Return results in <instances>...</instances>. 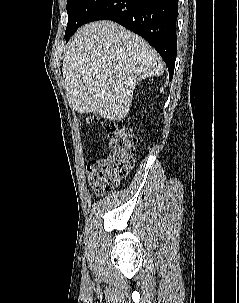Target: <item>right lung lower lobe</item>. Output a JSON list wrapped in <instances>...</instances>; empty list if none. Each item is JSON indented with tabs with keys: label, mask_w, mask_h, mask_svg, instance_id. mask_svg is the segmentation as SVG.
Instances as JSON below:
<instances>
[{
	"label": "right lung lower lobe",
	"mask_w": 239,
	"mask_h": 303,
	"mask_svg": "<svg viewBox=\"0 0 239 303\" xmlns=\"http://www.w3.org/2000/svg\"><path fill=\"white\" fill-rule=\"evenodd\" d=\"M178 0H105L84 21L112 20L147 40L161 55L172 80L176 59Z\"/></svg>",
	"instance_id": "obj_1"
}]
</instances>
